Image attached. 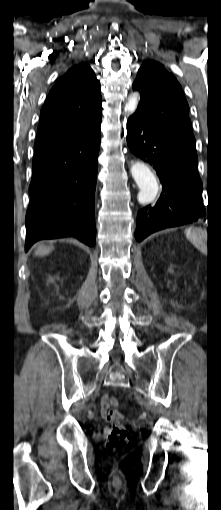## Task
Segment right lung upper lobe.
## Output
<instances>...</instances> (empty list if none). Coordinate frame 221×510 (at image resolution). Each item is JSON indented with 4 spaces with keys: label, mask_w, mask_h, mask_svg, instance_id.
<instances>
[{
    "label": "right lung upper lobe",
    "mask_w": 221,
    "mask_h": 510,
    "mask_svg": "<svg viewBox=\"0 0 221 510\" xmlns=\"http://www.w3.org/2000/svg\"><path fill=\"white\" fill-rule=\"evenodd\" d=\"M34 149L50 145L93 127L102 117L100 82L85 63L62 76L43 105Z\"/></svg>",
    "instance_id": "right-lung-upper-lobe-1"
}]
</instances>
